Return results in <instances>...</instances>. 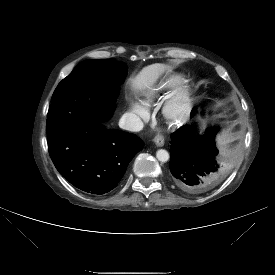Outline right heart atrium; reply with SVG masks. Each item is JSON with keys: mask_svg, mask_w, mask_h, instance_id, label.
Instances as JSON below:
<instances>
[{"mask_svg": "<svg viewBox=\"0 0 275 275\" xmlns=\"http://www.w3.org/2000/svg\"><path fill=\"white\" fill-rule=\"evenodd\" d=\"M129 113L137 125H140L148 116L147 110L135 101L129 102Z\"/></svg>", "mask_w": 275, "mask_h": 275, "instance_id": "1", "label": "right heart atrium"}]
</instances>
